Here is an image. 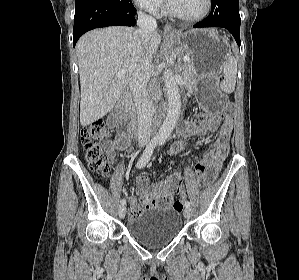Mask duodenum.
<instances>
[{
	"instance_id": "1",
	"label": "duodenum",
	"mask_w": 299,
	"mask_h": 280,
	"mask_svg": "<svg viewBox=\"0 0 299 280\" xmlns=\"http://www.w3.org/2000/svg\"><path fill=\"white\" fill-rule=\"evenodd\" d=\"M116 115L118 120V129L125 134H135L136 126L133 122L131 94L129 92L123 93L117 106ZM161 116L159 115L155 120V126L159 124Z\"/></svg>"
}]
</instances>
